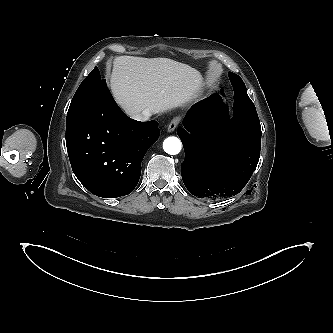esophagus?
<instances>
[{
	"mask_svg": "<svg viewBox=\"0 0 333 333\" xmlns=\"http://www.w3.org/2000/svg\"><path fill=\"white\" fill-rule=\"evenodd\" d=\"M179 122H180V117L173 118L167 127V131L173 132L176 129Z\"/></svg>",
	"mask_w": 333,
	"mask_h": 333,
	"instance_id": "obj_1",
	"label": "esophagus"
}]
</instances>
